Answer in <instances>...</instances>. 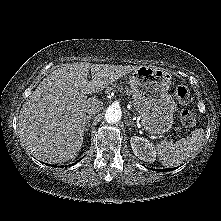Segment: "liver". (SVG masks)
<instances>
[{
  "mask_svg": "<svg viewBox=\"0 0 221 221\" xmlns=\"http://www.w3.org/2000/svg\"><path fill=\"white\" fill-rule=\"evenodd\" d=\"M137 67L74 62L51 72L20 110L19 134L26 148L47 163L73 159L83 144L86 110L102 106L86 95L99 93Z\"/></svg>",
  "mask_w": 221,
  "mask_h": 221,
  "instance_id": "1",
  "label": "liver"
}]
</instances>
